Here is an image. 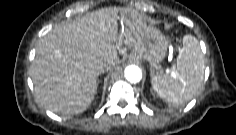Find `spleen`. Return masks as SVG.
<instances>
[{
	"label": "spleen",
	"instance_id": "1",
	"mask_svg": "<svg viewBox=\"0 0 236 135\" xmlns=\"http://www.w3.org/2000/svg\"><path fill=\"white\" fill-rule=\"evenodd\" d=\"M204 69V56L198 40L192 35H185L174 74L160 72L153 76V89L170 103H184L191 100L202 85Z\"/></svg>",
	"mask_w": 236,
	"mask_h": 135
}]
</instances>
